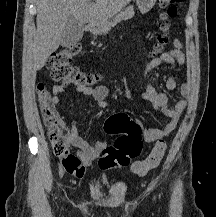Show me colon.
I'll return each instance as SVG.
<instances>
[{
  "label": "colon",
  "mask_w": 216,
  "mask_h": 217,
  "mask_svg": "<svg viewBox=\"0 0 216 217\" xmlns=\"http://www.w3.org/2000/svg\"><path fill=\"white\" fill-rule=\"evenodd\" d=\"M164 9L158 24L159 33L155 51H161L168 44L169 18L177 15L178 5L182 0H158ZM80 45L71 44L55 52L49 61L50 74L53 80L65 84H75L79 87H93L98 82V75L86 73L72 65L73 59L79 54ZM39 103L44 124L48 128V137L54 154L61 159L62 166L77 176L82 174L79 159L70 152V141L65 123L53 103V96L43 84L37 88ZM108 134H122L114 143L105 147L98 164L102 170L122 168L136 158L143 145L142 131L136 122L125 113H116L108 117L104 123ZM166 151V143L158 140L146 159L135 162L131 170L142 176L156 168L162 161Z\"/></svg>",
  "instance_id": "1"
}]
</instances>
